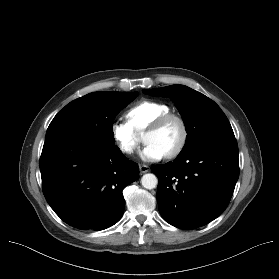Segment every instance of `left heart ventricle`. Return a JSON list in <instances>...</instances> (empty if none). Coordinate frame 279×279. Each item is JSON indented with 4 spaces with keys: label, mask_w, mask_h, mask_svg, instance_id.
<instances>
[{
    "label": "left heart ventricle",
    "mask_w": 279,
    "mask_h": 279,
    "mask_svg": "<svg viewBox=\"0 0 279 279\" xmlns=\"http://www.w3.org/2000/svg\"><path fill=\"white\" fill-rule=\"evenodd\" d=\"M180 136L179 124L175 120H170L158 131L145 133L143 140L146 144H154L164 154H167L176 147Z\"/></svg>",
    "instance_id": "b2bd125f"
}]
</instances>
